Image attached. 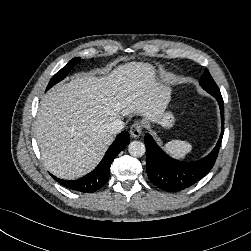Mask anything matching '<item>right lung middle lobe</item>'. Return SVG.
I'll use <instances>...</instances> for the list:
<instances>
[{
  "label": "right lung middle lobe",
  "instance_id": "right-lung-middle-lobe-1",
  "mask_svg": "<svg viewBox=\"0 0 251 251\" xmlns=\"http://www.w3.org/2000/svg\"><path fill=\"white\" fill-rule=\"evenodd\" d=\"M80 62V58H73L72 60H70L68 62V64L63 67L60 71H58L50 80L46 91L49 90L53 85H55L56 83L60 82L61 80H63L66 75L73 69V67Z\"/></svg>",
  "mask_w": 251,
  "mask_h": 251
}]
</instances>
